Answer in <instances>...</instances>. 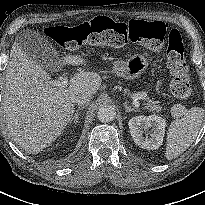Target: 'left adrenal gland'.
I'll use <instances>...</instances> for the list:
<instances>
[{"instance_id": "1", "label": "left adrenal gland", "mask_w": 205, "mask_h": 205, "mask_svg": "<svg viewBox=\"0 0 205 205\" xmlns=\"http://www.w3.org/2000/svg\"><path fill=\"white\" fill-rule=\"evenodd\" d=\"M124 107H125L127 113H129V112H131V111L139 112L138 109L131 108V107L127 104V102L124 103Z\"/></svg>"}]
</instances>
